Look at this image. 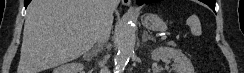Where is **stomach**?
Wrapping results in <instances>:
<instances>
[{"label": "stomach", "mask_w": 244, "mask_h": 73, "mask_svg": "<svg viewBox=\"0 0 244 73\" xmlns=\"http://www.w3.org/2000/svg\"><path fill=\"white\" fill-rule=\"evenodd\" d=\"M142 25L151 31L164 32L167 30V24L157 14H145L141 17Z\"/></svg>", "instance_id": "0dacf381"}]
</instances>
